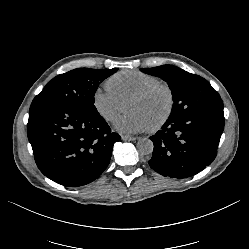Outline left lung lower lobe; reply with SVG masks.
<instances>
[{"label": "left lung lower lobe", "instance_id": "1", "mask_svg": "<svg viewBox=\"0 0 249 249\" xmlns=\"http://www.w3.org/2000/svg\"><path fill=\"white\" fill-rule=\"evenodd\" d=\"M224 129L223 109L204 110L168 119L155 135L149 165L163 176L186 178L215 159Z\"/></svg>", "mask_w": 249, "mask_h": 249}]
</instances>
